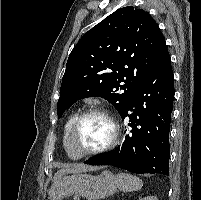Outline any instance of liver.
Returning <instances> with one entry per match:
<instances>
[{"instance_id": "liver-1", "label": "liver", "mask_w": 201, "mask_h": 200, "mask_svg": "<svg viewBox=\"0 0 201 200\" xmlns=\"http://www.w3.org/2000/svg\"><path fill=\"white\" fill-rule=\"evenodd\" d=\"M90 169H93V168L83 166V165H72V166L58 170L53 177V181H57L61 179L66 174H71V173L76 174V173H80L82 171H87Z\"/></svg>"}]
</instances>
